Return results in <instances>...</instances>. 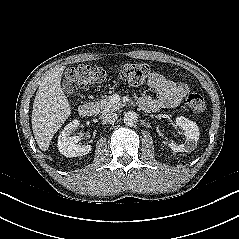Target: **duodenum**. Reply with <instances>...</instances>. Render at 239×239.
<instances>
[{
    "label": "duodenum",
    "instance_id": "obj_1",
    "mask_svg": "<svg viewBox=\"0 0 239 239\" xmlns=\"http://www.w3.org/2000/svg\"><path fill=\"white\" fill-rule=\"evenodd\" d=\"M93 107L90 104H82L79 106L78 112L81 117L88 118L93 114Z\"/></svg>",
    "mask_w": 239,
    "mask_h": 239
}]
</instances>
